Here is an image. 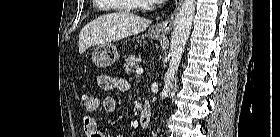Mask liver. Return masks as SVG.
Listing matches in <instances>:
<instances>
[{
    "label": "liver",
    "instance_id": "6515ba94",
    "mask_svg": "<svg viewBox=\"0 0 280 137\" xmlns=\"http://www.w3.org/2000/svg\"><path fill=\"white\" fill-rule=\"evenodd\" d=\"M151 24L149 19L128 12L100 16L87 23L79 34V53L94 45H103L143 32Z\"/></svg>",
    "mask_w": 280,
    "mask_h": 137
}]
</instances>
